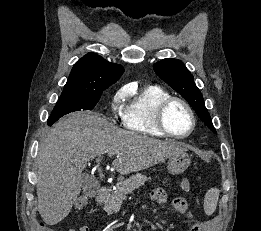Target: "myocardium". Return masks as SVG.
<instances>
[{
    "label": "myocardium",
    "mask_w": 261,
    "mask_h": 231,
    "mask_svg": "<svg viewBox=\"0 0 261 231\" xmlns=\"http://www.w3.org/2000/svg\"><path fill=\"white\" fill-rule=\"evenodd\" d=\"M175 102L182 104L186 108L191 119V127L189 131L186 132L185 134H175L171 132L166 125V121H165L166 111ZM156 124L159 130L165 135L172 138L182 139L190 136L194 131L196 126V117L191 105L186 100L180 97L171 96L159 104L156 112Z\"/></svg>",
    "instance_id": "1"
}]
</instances>
